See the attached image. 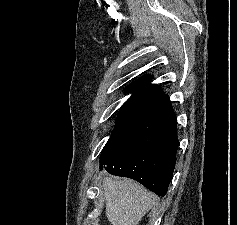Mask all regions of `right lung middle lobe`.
Returning <instances> with one entry per match:
<instances>
[{
  "mask_svg": "<svg viewBox=\"0 0 237 225\" xmlns=\"http://www.w3.org/2000/svg\"><path fill=\"white\" fill-rule=\"evenodd\" d=\"M121 125H123V124L120 123V122H117V124H116V129H117L118 127H120Z\"/></svg>",
  "mask_w": 237,
  "mask_h": 225,
  "instance_id": "right-lung-middle-lobe-1",
  "label": "right lung middle lobe"
}]
</instances>
